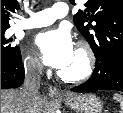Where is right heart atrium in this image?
<instances>
[{
  "mask_svg": "<svg viewBox=\"0 0 123 113\" xmlns=\"http://www.w3.org/2000/svg\"><path fill=\"white\" fill-rule=\"evenodd\" d=\"M25 68L32 73H38L41 68V62L35 56L28 54L24 60Z\"/></svg>",
  "mask_w": 123,
  "mask_h": 113,
  "instance_id": "obj_1",
  "label": "right heart atrium"
}]
</instances>
